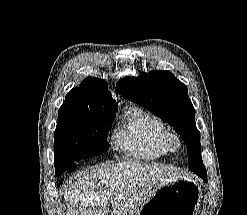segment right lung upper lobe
Here are the masks:
<instances>
[{"label": "right lung upper lobe", "mask_w": 247, "mask_h": 215, "mask_svg": "<svg viewBox=\"0 0 247 215\" xmlns=\"http://www.w3.org/2000/svg\"><path fill=\"white\" fill-rule=\"evenodd\" d=\"M68 95L77 98L82 103L95 108L115 111L116 101L108 90L107 83L99 78L88 77L80 87L72 89Z\"/></svg>", "instance_id": "1"}]
</instances>
